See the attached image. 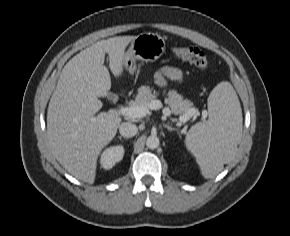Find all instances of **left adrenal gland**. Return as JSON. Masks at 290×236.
I'll return each instance as SVG.
<instances>
[{
  "label": "left adrenal gland",
  "instance_id": "a2214340",
  "mask_svg": "<svg viewBox=\"0 0 290 236\" xmlns=\"http://www.w3.org/2000/svg\"><path fill=\"white\" fill-rule=\"evenodd\" d=\"M164 127L167 128V130L170 131V132H172V131H176V132H177V129L172 128L171 126H169V125H167V124L164 125ZM177 133H178V132H177Z\"/></svg>",
  "mask_w": 290,
  "mask_h": 236
}]
</instances>
